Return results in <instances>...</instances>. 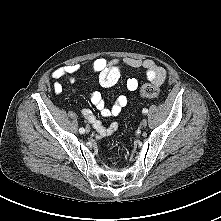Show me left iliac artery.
Here are the masks:
<instances>
[{
	"label": "left iliac artery",
	"mask_w": 221,
	"mask_h": 221,
	"mask_svg": "<svg viewBox=\"0 0 221 221\" xmlns=\"http://www.w3.org/2000/svg\"><path fill=\"white\" fill-rule=\"evenodd\" d=\"M142 113L146 114V113H148V110H147L146 108H144V109L142 110Z\"/></svg>",
	"instance_id": "1"
}]
</instances>
